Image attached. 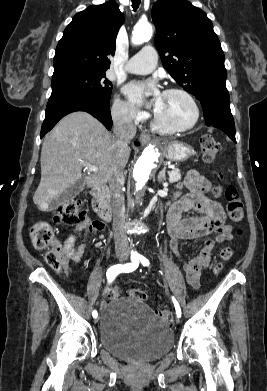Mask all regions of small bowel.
Returning a JSON list of instances; mask_svg holds the SVG:
<instances>
[{
    "instance_id": "c3829d8e",
    "label": "small bowel",
    "mask_w": 267,
    "mask_h": 391,
    "mask_svg": "<svg viewBox=\"0 0 267 391\" xmlns=\"http://www.w3.org/2000/svg\"><path fill=\"white\" fill-rule=\"evenodd\" d=\"M184 185L189 193L180 196L167 211V230L172 239L170 244L172 254L180 260V242L216 233L214 239L206 240L198 256L183 264L188 283L192 288L197 289L201 273L211 261L215 244L231 240L232 227L226 223L222 205L208 196L211 183L206 178L197 171H190L184 180ZM187 211H194L197 216L182 218V214ZM102 229L101 222L86 219L66 237L60 246V252L65 261V273H68L70 262L78 263L81 260L86 249V236ZM81 235L84 239L79 241Z\"/></svg>"
}]
</instances>
